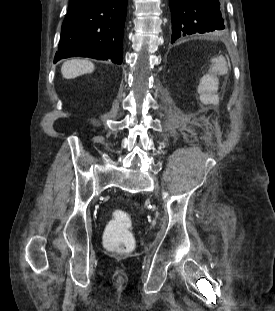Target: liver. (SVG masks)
<instances>
[{"instance_id": "1", "label": "liver", "mask_w": 275, "mask_h": 311, "mask_svg": "<svg viewBox=\"0 0 275 311\" xmlns=\"http://www.w3.org/2000/svg\"><path fill=\"white\" fill-rule=\"evenodd\" d=\"M94 71V64L89 60L72 59L63 63L61 73L64 78L72 79L85 73Z\"/></svg>"}]
</instances>
